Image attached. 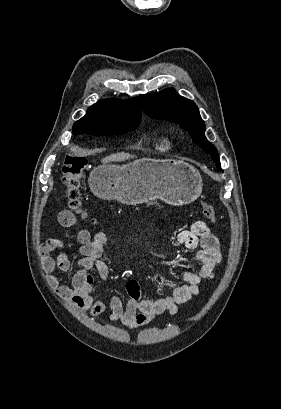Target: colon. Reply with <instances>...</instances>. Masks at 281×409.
<instances>
[{
    "label": "colon",
    "mask_w": 281,
    "mask_h": 409,
    "mask_svg": "<svg viewBox=\"0 0 281 409\" xmlns=\"http://www.w3.org/2000/svg\"><path fill=\"white\" fill-rule=\"evenodd\" d=\"M88 165V160L85 156L67 152L63 161V179L67 206L73 212H81V179ZM203 214L206 218L214 221L216 214L212 206L206 202L202 204Z\"/></svg>",
    "instance_id": "5ec220e1"
}]
</instances>
